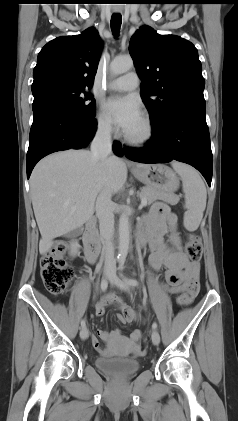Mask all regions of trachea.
Instances as JSON below:
<instances>
[{"mask_svg":"<svg viewBox=\"0 0 238 421\" xmlns=\"http://www.w3.org/2000/svg\"><path fill=\"white\" fill-rule=\"evenodd\" d=\"M121 23H122V16L120 14H113L111 17V30L114 36L119 35Z\"/></svg>","mask_w":238,"mask_h":421,"instance_id":"1","label":"trachea"}]
</instances>
